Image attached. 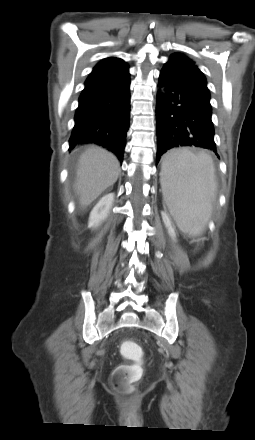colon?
I'll return each mask as SVG.
<instances>
[{
	"label": "colon",
	"instance_id": "5ec220e1",
	"mask_svg": "<svg viewBox=\"0 0 255 440\" xmlns=\"http://www.w3.org/2000/svg\"><path fill=\"white\" fill-rule=\"evenodd\" d=\"M120 350L124 357L133 362L116 367L112 374V385L120 393L129 395L134 392V385L141 377L142 370L139 360L142 351L140 346L132 341H124Z\"/></svg>",
	"mask_w": 255,
	"mask_h": 440
}]
</instances>
